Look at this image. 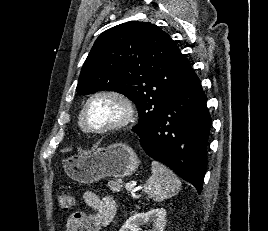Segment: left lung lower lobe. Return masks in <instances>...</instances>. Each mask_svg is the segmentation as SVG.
<instances>
[{"label": "left lung lower lobe", "mask_w": 268, "mask_h": 231, "mask_svg": "<svg viewBox=\"0 0 268 231\" xmlns=\"http://www.w3.org/2000/svg\"><path fill=\"white\" fill-rule=\"evenodd\" d=\"M210 127L206 96L193 72L171 93L152 128L138 136L148 156L167 165L200 193Z\"/></svg>", "instance_id": "1"}]
</instances>
